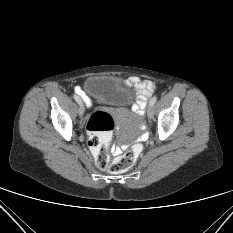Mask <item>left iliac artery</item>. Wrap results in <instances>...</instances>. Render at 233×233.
I'll list each match as a JSON object with an SVG mask.
<instances>
[{"instance_id": "left-iliac-artery-1", "label": "left iliac artery", "mask_w": 233, "mask_h": 233, "mask_svg": "<svg viewBox=\"0 0 233 233\" xmlns=\"http://www.w3.org/2000/svg\"><path fill=\"white\" fill-rule=\"evenodd\" d=\"M157 101V96H154L151 98L150 102H149V105L150 106H154L155 102Z\"/></svg>"}]
</instances>
